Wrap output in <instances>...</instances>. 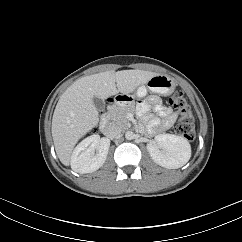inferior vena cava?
Wrapping results in <instances>:
<instances>
[{
  "label": "inferior vena cava",
  "instance_id": "602c4592",
  "mask_svg": "<svg viewBox=\"0 0 242 242\" xmlns=\"http://www.w3.org/2000/svg\"><path fill=\"white\" fill-rule=\"evenodd\" d=\"M122 128L118 124L112 123L106 128V135L110 139H115L121 135Z\"/></svg>",
  "mask_w": 242,
  "mask_h": 242
}]
</instances>
